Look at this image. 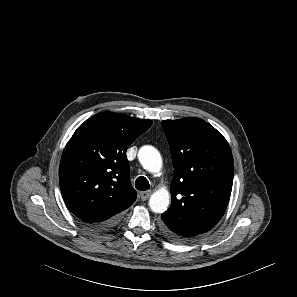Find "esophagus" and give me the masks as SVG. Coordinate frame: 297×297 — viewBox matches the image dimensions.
<instances>
[{
	"label": "esophagus",
	"mask_w": 297,
	"mask_h": 297,
	"mask_svg": "<svg viewBox=\"0 0 297 297\" xmlns=\"http://www.w3.org/2000/svg\"><path fill=\"white\" fill-rule=\"evenodd\" d=\"M151 193L152 192L150 190H148V191H142V192H140V198L143 201H146L150 197Z\"/></svg>",
	"instance_id": "obj_1"
}]
</instances>
